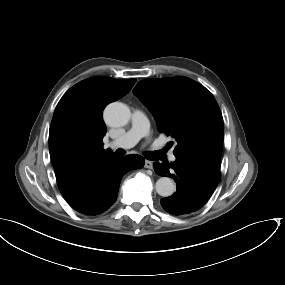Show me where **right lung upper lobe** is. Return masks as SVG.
Here are the masks:
<instances>
[{
    "label": "right lung upper lobe",
    "mask_w": 285,
    "mask_h": 285,
    "mask_svg": "<svg viewBox=\"0 0 285 285\" xmlns=\"http://www.w3.org/2000/svg\"><path fill=\"white\" fill-rule=\"evenodd\" d=\"M136 79L92 77L71 87L57 104L49 131V152L60 192L89 170L113 158L103 148L105 106L126 95Z\"/></svg>",
    "instance_id": "right-lung-upper-lobe-1"
}]
</instances>
